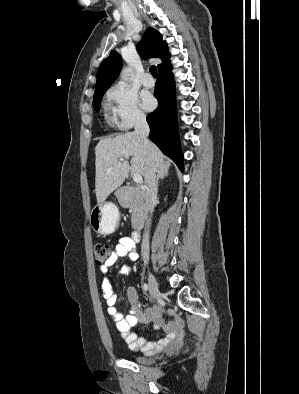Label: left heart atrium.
I'll list each match as a JSON object with an SVG mask.
<instances>
[{
  "instance_id": "left-heart-atrium-1",
  "label": "left heart atrium",
  "mask_w": 299,
  "mask_h": 394,
  "mask_svg": "<svg viewBox=\"0 0 299 394\" xmlns=\"http://www.w3.org/2000/svg\"><path fill=\"white\" fill-rule=\"evenodd\" d=\"M156 105L155 99L149 93L142 94V106L145 110L150 111L154 109Z\"/></svg>"
}]
</instances>
